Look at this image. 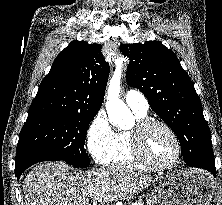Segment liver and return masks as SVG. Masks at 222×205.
Returning a JSON list of instances; mask_svg holds the SVG:
<instances>
[{"label": "liver", "instance_id": "1", "mask_svg": "<svg viewBox=\"0 0 222 205\" xmlns=\"http://www.w3.org/2000/svg\"><path fill=\"white\" fill-rule=\"evenodd\" d=\"M156 178L123 166L69 173L64 162L34 167L24 180V205H89V199L107 203L137 193Z\"/></svg>", "mask_w": 222, "mask_h": 205}]
</instances>
